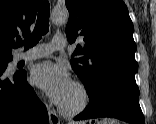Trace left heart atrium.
I'll return each instance as SVG.
<instances>
[{
  "label": "left heart atrium",
  "mask_w": 156,
  "mask_h": 124,
  "mask_svg": "<svg viewBox=\"0 0 156 124\" xmlns=\"http://www.w3.org/2000/svg\"><path fill=\"white\" fill-rule=\"evenodd\" d=\"M31 81L58 105H61L73 82L66 69L58 64L43 62L34 67Z\"/></svg>",
  "instance_id": "obj_1"
}]
</instances>
